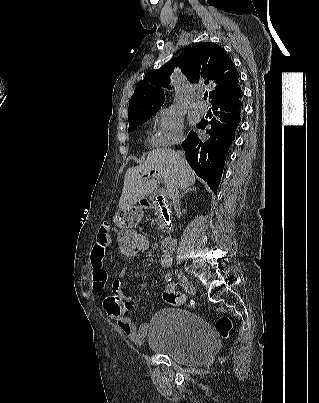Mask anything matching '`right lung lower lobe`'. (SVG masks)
<instances>
[{
  "mask_svg": "<svg viewBox=\"0 0 319 403\" xmlns=\"http://www.w3.org/2000/svg\"><path fill=\"white\" fill-rule=\"evenodd\" d=\"M243 93L212 105L214 118L203 119L196 127L206 129V136L191 131L183 142L186 159L196 174L217 192L229 145L241 120Z\"/></svg>",
  "mask_w": 319,
  "mask_h": 403,
  "instance_id": "obj_1",
  "label": "right lung lower lobe"
}]
</instances>
